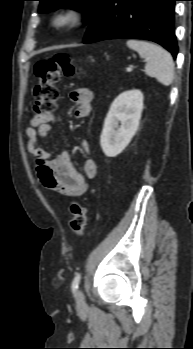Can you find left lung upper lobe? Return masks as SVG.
I'll use <instances>...</instances> for the list:
<instances>
[{
  "label": "left lung upper lobe",
  "instance_id": "obj_1",
  "mask_svg": "<svg viewBox=\"0 0 193 349\" xmlns=\"http://www.w3.org/2000/svg\"><path fill=\"white\" fill-rule=\"evenodd\" d=\"M39 12H49L61 7L78 9L86 13L90 21L98 16L106 0H38Z\"/></svg>",
  "mask_w": 193,
  "mask_h": 349
}]
</instances>
